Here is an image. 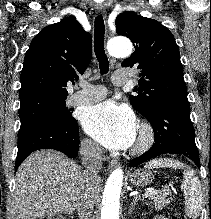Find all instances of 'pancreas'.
I'll use <instances>...</instances> for the list:
<instances>
[{
  "instance_id": "1",
  "label": "pancreas",
  "mask_w": 211,
  "mask_h": 219,
  "mask_svg": "<svg viewBox=\"0 0 211 219\" xmlns=\"http://www.w3.org/2000/svg\"><path fill=\"white\" fill-rule=\"evenodd\" d=\"M169 193V191H164L150 196L152 204L156 210H162L171 202L170 198H167Z\"/></svg>"
}]
</instances>
